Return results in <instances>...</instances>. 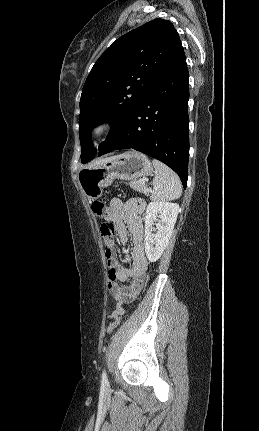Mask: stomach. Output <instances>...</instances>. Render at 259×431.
<instances>
[{
    "instance_id": "stomach-1",
    "label": "stomach",
    "mask_w": 259,
    "mask_h": 431,
    "mask_svg": "<svg viewBox=\"0 0 259 431\" xmlns=\"http://www.w3.org/2000/svg\"><path fill=\"white\" fill-rule=\"evenodd\" d=\"M153 167L148 157L137 151H128L115 158L78 173V183L84 195L95 200L102 196L103 188L115 179L133 181L150 175Z\"/></svg>"
}]
</instances>
